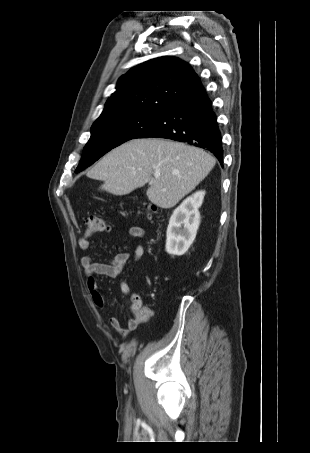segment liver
Wrapping results in <instances>:
<instances>
[{
  "label": "liver",
  "instance_id": "liver-1",
  "mask_svg": "<svg viewBox=\"0 0 310 453\" xmlns=\"http://www.w3.org/2000/svg\"><path fill=\"white\" fill-rule=\"evenodd\" d=\"M216 160L204 150L160 138L133 139L107 153L88 173L113 195H127L149 183L155 205L174 207L213 169ZM160 174L159 178L153 175Z\"/></svg>",
  "mask_w": 310,
  "mask_h": 453
}]
</instances>
